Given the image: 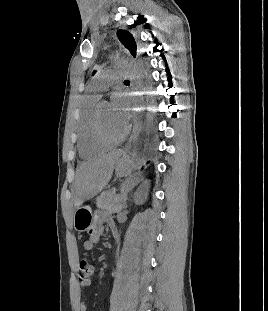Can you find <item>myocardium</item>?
<instances>
[{
  "instance_id": "obj_1",
  "label": "myocardium",
  "mask_w": 268,
  "mask_h": 311,
  "mask_svg": "<svg viewBox=\"0 0 268 311\" xmlns=\"http://www.w3.org/2000/svg\"><path fill=\"white\" fill-rule=\"evenodd\" d=\"M129 133V126L125 125L123 132L117 138H111L107 136L103 130L102 126V110L101 104L96 108L94 118H93V134L95 139L104 146H114L121 143Z\"/></svg>"
}]
</instances>
